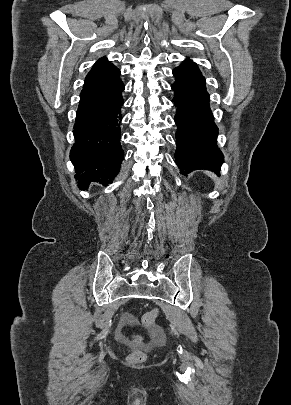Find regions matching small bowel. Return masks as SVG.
<instances>
[{"label": "small bowel", "mask_w": 291, "mask_h": 405, "mask_svg": "<svg viewBox=\"0 0 291 405\" xmlns=\"http://www.w3.org/2000/svg\"><path fill=\"white\" fill-rule=\"evenodd\" d=\"M121 322H122V325H124V326H130V325L133 324L134 318H133V316L131 314L125 313L122 316Z\"/></svg>", "instance_id": "c3829d8e"}]
</instances>
